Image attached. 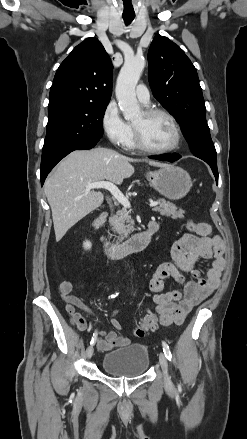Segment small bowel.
<instances>
[{
	"label": "small bowel",
	"mask_w": 247,
	"mask_h": 439,
	"mask_svg": "<svg viewBox=\"0 0 247 439\" xmlns=\"http://www.w3.org/2000/svg\"><path fill=\"white\" fill-rule=\"evenodd\" d=\"M159 229V224L153 221ZM200 229L194 233H185L171 248V260L161 263L149 281V289L153 293L156 304L154 312L159 315V323L163 326L180 325L190 311L212 294L218 287L221 273L225 267L223 257L224 243L219 236L213 235L211 227L199 223ZM213 259L206 278L200 276L196 266L203 260ZM190 277L187 278L186 276ZM173 278L183 285V290L163 292L164 280ZM74 283L65 280L59 285V293L65 303L71 324L79 331L87 328L85 318L78 312L81 310L91 316L94 311L80 298L72 294ZM119 312H113L115 316ZM111 324L116 330H122L121 324L113 317ZM96 345L100 351H110L130 344V339L119 336L114 331H95Z\"/></svg>",
	"instance_id": "c3829d8e"
}]
</instances>
